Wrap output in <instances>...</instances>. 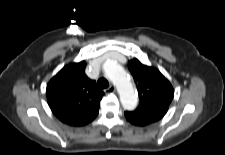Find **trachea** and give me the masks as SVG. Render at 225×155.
<instances>
[{
  "label": "trachea",
  "instance_id": "3493384b",
  "mask_svg": "<svg viewBox=\"0 0 225 155\" xmlns=\"http://www.w3.org/2000/svg\"><path fill=\"white\" fill-rule=\"evenodd\" d=\"M99 89H106L109 87V83L105 78H100L97 82Z\"/></svg>",
  "mask_w": 225,
  "mask_h": 155
}]
</instances>
